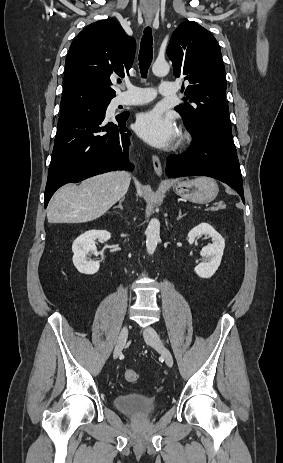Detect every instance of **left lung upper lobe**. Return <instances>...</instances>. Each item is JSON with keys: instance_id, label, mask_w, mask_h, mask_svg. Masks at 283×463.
I'll return each mask as SVG.
<instances>
[{"instance_id": "obj_1", "label": "left lung upper lobe", "mask_w": 283, "mask_h": 463, "mask_svg": "<svg viewBox=\"0 0 283 463\" xmlns=\"http://www.w3.org/2000/svg\"><path fill=\"white\" fill-rule=\"evenodd\" d=\"M167 55L175 76L189 82L185 100L192 104L175 108L186 128L213 129L232 136L225 67L214 36L194 21L183 22L172 34Z\"/></svg>"}]
</instances>
